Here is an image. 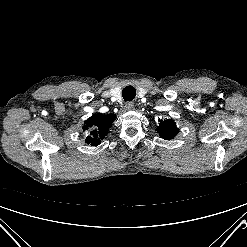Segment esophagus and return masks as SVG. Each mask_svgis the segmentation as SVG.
<instances>
[{
	"label": "esophagus",
	"instance_id": "esophagus-1",
	"mask_svg": "<svg viewBox=\"0 0 247 247\" xmlns=\"http://www.w3.org/2000/svg\"><path fill=\"white\" fill-rule=\"evenodd\" d=\"M126 110H132L134 108V103L129 101L125 104Z\"/></svg>",
	"mask_w": 247,
	"mask_h": 247
}]
</instances>
